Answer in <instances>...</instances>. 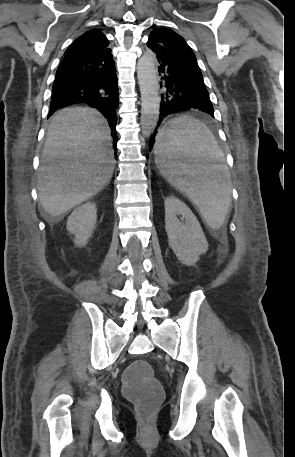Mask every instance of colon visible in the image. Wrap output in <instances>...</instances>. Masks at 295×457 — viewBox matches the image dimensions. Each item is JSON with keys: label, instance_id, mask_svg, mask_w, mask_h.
I'll use <instances>...</instances> for the list:
<instances>
[{"label": "colon", "instance_id": "5ec220e1", "mask_svg": "<svg viewBox=\"0 0 295 457\" xmlns=\"http://www.w3.org/2000/svg\"><path fill=\"white\" fill-rule=\"evenodd\" d=\"M152 363H129L125 369L121 389L137 407L141 419L147 421L154 414L162 397L161 385L152 378Z\"/></svg>", "mask_w": 295, "mask_h": 457}]
</instances>
